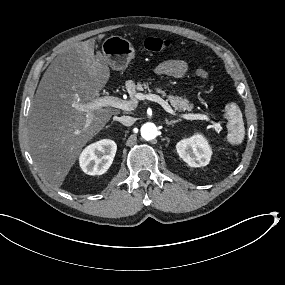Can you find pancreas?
Returning <instances> with one entry per match:
<instances>
[{
	"label": "pancreas",
	"mask_w": 285,
	"mask_h": 285,
	"mask_svg": "<svg viewBox=\"0 0 285 285\" xmlns=\"http://www.w3.org/2000/svg\"><path fill=\"white\" fill-rule=\"evenodd\" d=\"M154 87V84L147 82L145 85L141 80H138L136 82H133L131 80L126 81L124 89L127 92L128 97L133 98L136 94H139L140 92L147 90L150 91ZM155 90L157 91L158 95L163 96L167 94V91L163 87H155ZM168 101L171 102V105L174 109H179L180 111H191V107L189 105V102L186 98L182 96H174L173 94H169L167 96Z\"/></svg>",
	"instance_id": "1"
}]
</instances>
